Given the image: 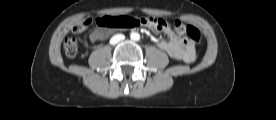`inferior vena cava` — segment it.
Returning a JSON list of instances; mask_svg holds the SVG:
<instances>
[{
    "mask_svg": "<svg viewBox=\"0 0 276 120\" xmlns=\"http://www.w3.org/2000/svg\"><path fill=\"white\" fill-rule=\"evenodd\" d=\"M125 39V36L123 34H116L110 39V44L115 45L120 41H123Z\"/></svg>",
    "mask_w": 276,
    "mask_h": 120,
    "instance_id": "1",
    "label": "inferior vena cava"
}]
</instances>
